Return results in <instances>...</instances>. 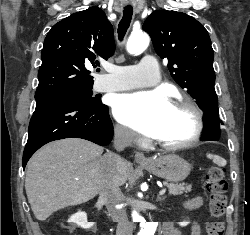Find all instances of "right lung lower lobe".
Listing matches in <instances>:
<instances>
[{"mask_svg":"<svg viewBox=\"0 0 250 235\" xmlns=\"http://www.w3.org/2000/svg\"><path fill=\"white\" fill-rule=\"evenodd\" d=\"M28 141L23 153V168L44 144L68 137L83 138L99 145L108 144L113 125L108 107L76 97H42L29 124Z\"/></svg>","mask_w":250,"mask_h":235,"instance_id":"1","label":"right lung lower lobe"}]
</instances>
